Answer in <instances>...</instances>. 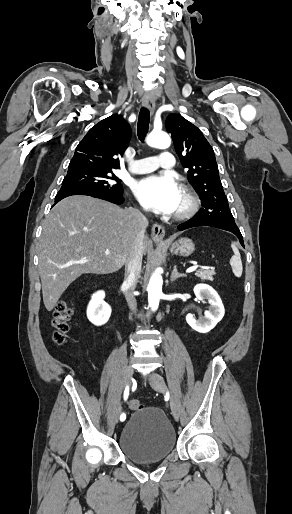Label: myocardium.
<instances>
[{
  "label": "myocardium",
  "instance_id": "myocardium-1",
  "mask_svg": "<svg viewBox=\"0 0 292 514\" xmlns=\"http://www.w3.org/2000/svg\"><path fill=\"white\" fill-rule=\"evenodd\" d=\"M181 196L183 199V205L180 209L175 211V216L177 218L183 219L193 215L196 212L198 207V198L194 193L186 188L182 189Z\"/></svg>",
  "mask_w": 292,
  "mask_h": 514
}]
</instances>
